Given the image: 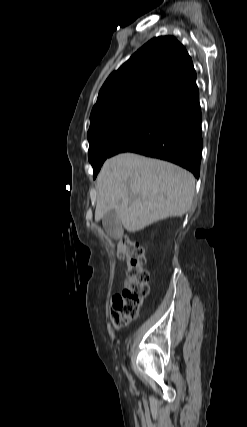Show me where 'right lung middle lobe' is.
Segmentation results:
<instances>
[{"label":"right lung middle lobe","mask_w":247,"mask_h":427,"mask_svg":"<svg viewBox=\"0 0 247 427\" xmlns=\"http://www.w3.org/2000/svg\"><path fill=\"white\" fill-rule=\"evenodd\" d=\"M151 106L127 107L106 113L90 123L88 158L95 178L103 162L115 148L156 109Z\"/></svg>","instance_id":"dd1d6c3e"}]
</instances>
